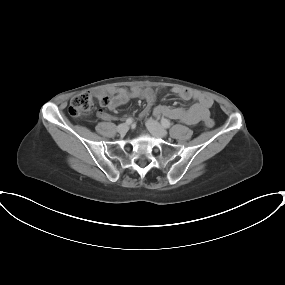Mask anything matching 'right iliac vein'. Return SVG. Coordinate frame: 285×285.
<instances>
[{"label": "right iliac vein", "mask_w": 285, "mask_h": 285, "mask_svg": "<svg viewBox=\"0 0 285 285\" xmlns=\"http://www.w3.org/2000/svg\"><path fill=\"white\" fill-rule=\"evenodd\" d=\"M128 129H129V126H128V124H125V123L120 124V125H118V127H117V131H118L120 134H125V133L128 131Z\"/></svg>", "instance_id": "obj_1"}]
</instances>
